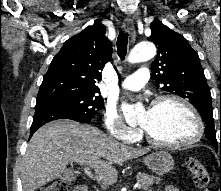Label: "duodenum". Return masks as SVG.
<instances>
[{"instance_id": "obj_1", "label": "duodenum", "mask_w": 221, "mask_h": 191, "mask_svg": "<svg viewBox=\"0 0 221 191\" xmlns=\"http://www.w3.org/2000/svg\"><path fill=\"white\" fill-rule=\"evenodd\" d=\"M74 191H88V188L84 184H79L74 188Z\"/></svg>"}]
</instances>
